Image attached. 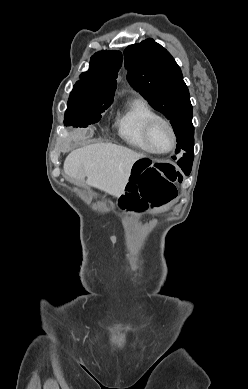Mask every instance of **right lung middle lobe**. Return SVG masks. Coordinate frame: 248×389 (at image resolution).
I'll use <instances>...</instances> for the list:
<instances>
[{
	"label": "right lung middle lobe",
	"instance_id": "right-lung-middle-lobe-1",
	"mask_svg": "<svg viewBox=\"0 0 248 389\" xmlns=\"http://www.w3.org/2000/svg\"><path fill=\"white\" fill-rule=\"evenodd\" d=\"M113 98L114 94L91 91L77 82L68 100L64 124L87 127L98 122L100 114L111 106Z\"/></svg>",
	"mask_w": 248,
	"mask_h": 389
}]
</instances>
